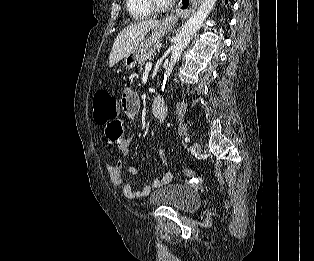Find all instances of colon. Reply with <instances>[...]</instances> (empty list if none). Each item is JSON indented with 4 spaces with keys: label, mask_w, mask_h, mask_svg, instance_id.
<instances>
[{
    "label": "colon",
    "mask_w": 314,
    "mask_h": 261,
    "mask_svg": "<svg viewBox=\"0 0 314 261\" xmlns=\"http://www.w3.org/2000/svg\"><path fill=\"white\" fill-rule=\"evenodd\" d=\"M94 119L99 125H103L105 120H120L117 100L106 90H98L94 94ZM185 174L192 176V171L186 169Z\"/></svg>",
    "instance_id": "1"
}]
</instances>
